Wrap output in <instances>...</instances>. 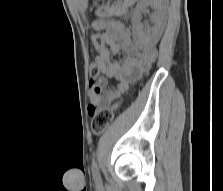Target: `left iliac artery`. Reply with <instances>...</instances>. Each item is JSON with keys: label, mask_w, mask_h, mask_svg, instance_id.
I'll use <instances>...</instances> for the list:
<instances>
[{"label": "left iliac artery", "mask_w": 223, "mask_h": 191, "mask_svg": "<svg viewBox=\"0 0 223 191\" xmlns=\"http://www.w3.org/2000/svg\"><path fill=\"white\" fill-rule=\"evenodd\" d=\"M91 170H92L93 178L95 179L96 183L100 184L101 183V176H100V173H99L98 165L95 161L92 163Z\"/></svg>", "instance_id": "obj_1"}]
</instances>
